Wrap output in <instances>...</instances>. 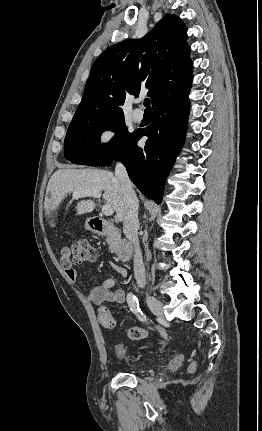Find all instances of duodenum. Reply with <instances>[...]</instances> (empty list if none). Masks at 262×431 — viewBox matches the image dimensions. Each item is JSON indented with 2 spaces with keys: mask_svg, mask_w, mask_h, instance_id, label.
<instances>
[{
  "mask_svg": "<svg viewBox=\"0 0 262 431\" xmlns=\"http://www.w3.org/2000/svg\"><path fill=\"white\" fill-rule=\"evenodd\" d=\"M89 221L93 230L97 234H101V235L109 234L112 236V239L115 242L117 254L122 261L127 262L130 260L132 256V250H133L132 245L128 241L118 236L117 229L112 223L106 220H103L97 216L91 217Z\"/></svg>",
  "mask_w": 262,
  "mask_h": 431,
  "instance_id": "duodenum-1",
  "label": "duodenum"
}]
</instances>
